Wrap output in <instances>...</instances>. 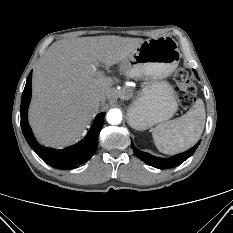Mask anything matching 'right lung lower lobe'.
<instances>
[{
    "instance_id": "98d812e1",
    "label": "right lung lower lobe",
    "mask_w": 233,
    "mask_h": 233,
    "mask_svg": "<svg viewBox=\"0 0 233 233\" xmlns=\"http://www.w3.org/2000/svg\"><path fill=\"white\" fill-rule=\"evenodd\" d=\"M31 79L32 72L27 77L20 109L21 128L28 144L45 163L56 169H73L88 161L96 151L97 140L103 127L105 113H100L96 116L88 134L79 143L63 150L45 148L36 141L28 123L27 113L32 92Z\"/></svg>"
}]
</instances>
